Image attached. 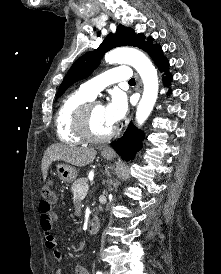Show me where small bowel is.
Listing matches in <instances>:
<instances>
[{
    "instance_id": "obj_1",
    "label": "small bowel",
    "mask_w": 221,
    "mask_h": 274,
    "mask_svg": "<svg viewBox=\"0 0 221 274\" xmlns=\"http://www.w3.org/2000/svg\"><path fill=\"white\" fill-rule=\"evenodd\" d=\"M40 227L44 235L45 247L51 251L56 262L61 261V252L57 246L56 238L53 234V225L57 219L56 214L52 211L51 205L46 201L39 204ZM55 274H62L61 268L55 270ZM73 274H89L88 271L80 265L75 266Z\"/></svg>"
}]
</instances>
